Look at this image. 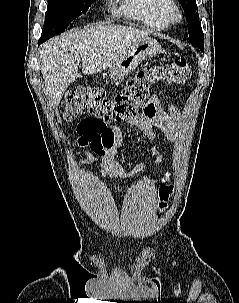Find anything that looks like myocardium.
Listing matches in <instances>:
<instances>
[{"mask_svg": "<svg viewBox=\"0 0 239 303\" xmlns=\"http://www.w3.org/2000/svg\"><path fill=\"white\" fill-rule=\"evenodd\" d=\"M165 13L170 22H178L182 19V9L173 0H169V3L165 7Z\"/></svg>", "mask_w": 239, "mask_h": 303, "instance_id": "obj_1", "label": "myocardium"}]
</instances>
